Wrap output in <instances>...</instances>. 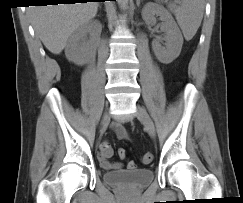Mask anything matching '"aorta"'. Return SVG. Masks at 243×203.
<instances>
[{"instance_id": "aorta-1", "label": "aorta", "mask_w": 243, "mask_h": 203, "mask_svg": "<svg viewBox=\"0 0 243 203\" xmlns=\"http://www.w3.org/2000/svg\"><path fill=\"white\" fill-rule=\"evenodd\" d=\"M117 2L121 10H126L128 8V0H117Z\"/></svg>"}]
</instances>
